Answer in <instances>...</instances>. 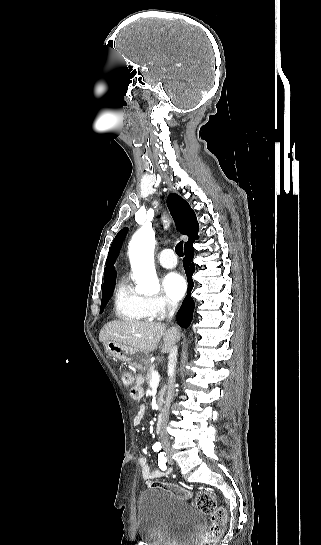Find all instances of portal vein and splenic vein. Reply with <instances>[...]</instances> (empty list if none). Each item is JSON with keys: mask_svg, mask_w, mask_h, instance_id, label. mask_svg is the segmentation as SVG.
Returning a JSON list of instances; mask_svg holds the SVG:
<instances>
[{"mask_svg": "<svg viewBox=\"0 0 321 545\" xmlns=\"http://www.w3.org/2000/svg\"><path fill=\"white\" fill-rule=\"evenodd\" d=\"M151 383L150 387H154V385H159L160 383V375L157 373L156 370H153V373H151Z\"/></svg>", "mask_w": 321, "mask_h": 545, "instance_id": "obj_1", "label": "portal vein and splenic vein"}]
</instances>
